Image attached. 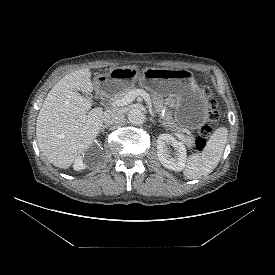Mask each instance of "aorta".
Segmentation results:
<instances>
[{
  "label": "aorta",
  "mask_w": 275,
  "mask_h": 275,
  "mask_svg": "<svg viewBox=\"0 0 275 275\" xmlns=\"http://www.w3.org/2000/svg\"><path fill=\"white\" fill-rule=\"evenodd\" d=\"M128 120L133 125H140L145 121V115L141 110L134 108L128 112Z\"/></svg>",
  "instance_id": "aorta-1"
}]
</instances>
